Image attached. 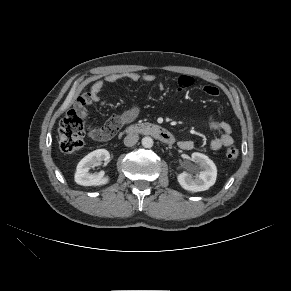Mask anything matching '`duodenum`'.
<instances>
[{
	"label": "duodenum",
	"mask_w": 291,
	"mask_h": 291,
	"mask_svg": "<svg viewBox=\"0 0 291 291\" xmlns=\"http://www.w3.org/2000/svg\"><path fill=\"white\" fill-rule=\"evenodd\" d=\"M126 132L128 134L150 135L165 144H173L175 141L174 136L170 131L156 124L144 123L129 125L126 128Z\"/></svg>",
	"instance_id": "obj_1"
}]
</instances>
